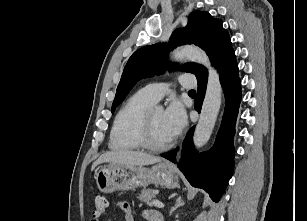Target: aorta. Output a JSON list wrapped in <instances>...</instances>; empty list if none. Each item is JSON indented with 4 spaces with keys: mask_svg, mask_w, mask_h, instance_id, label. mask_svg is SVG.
Wrapping results in <instances>:
<instances>
[{
    "mask_svg": "<svg viewBox=\"0 0 307 221\" xmlns=\"http://www.w3.org/2000/svg\"><path fill=\"white\" fill-rule=\"evenodd\" d=\"M175 60L188 59L205 66L208 82L199 122L196 126L193 143L196 148L203 147L209 140L221 106L222 89L217 70L211 65L207 54L195 46H183L173 52Z\"/></svg>",
    "mask_w": 307,
    "mask_h": 221,
    "instance_id": "762f6f07",
    "label": "aorta"
}]
</instances>
